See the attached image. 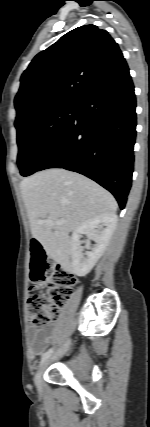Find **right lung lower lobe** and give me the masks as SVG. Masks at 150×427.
<instances>
[{
  "instance_id": "right-lung-lower-lobe-1",
  "label": "right lung lower lobe",
  "mask_w": 150,
  "mask_h": 427,
  "mask_svg": "<svg viewBox=\"0 0 150 427\" xmlns=\"http://www.w3.org/2000/svg\"><path fill=\"white\" fill-rule=\"evenodd\" d=\"M136 99L129 69L85 97L74 119L36 171L64 168L109 190L121 209L131 187Z\"/></svg>"
}]
</instances>
